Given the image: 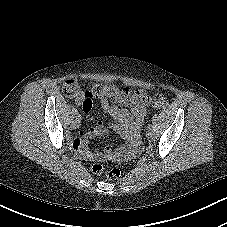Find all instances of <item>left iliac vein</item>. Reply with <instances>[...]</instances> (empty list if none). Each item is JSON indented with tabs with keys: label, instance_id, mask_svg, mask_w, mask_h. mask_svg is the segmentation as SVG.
<instances>
[{
	"label": "left iliac vein",
	"instance_id": "left-iliac-vein-1",
	"mask_svg": "<svg viewBox=\"0 0 227 227\" xmlns=\"http://www.w3.org/2000/svg\"><path fill=\"white\" fill-rule=\"evenodd\" d=\"M146 136L149 141H154V139H155V134L153 133V131H148Z\"/></svg>",
	"mask_w": 227,
	"mask_h": 227
}]
</instances>
